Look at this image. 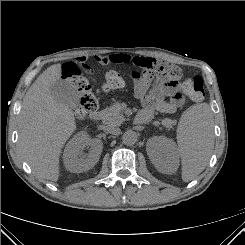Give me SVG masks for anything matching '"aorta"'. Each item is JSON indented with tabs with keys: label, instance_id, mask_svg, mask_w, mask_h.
<instances>
[{
	"label": "aorta",
	"instance_id": "1",
	"mask_svg": "<svg viewBox=\"0 0 245 245\" xmlns=\"http://www.w3.org/2000/svg\"><path fill=\"white\" fill-rule=\"evenodd\" d=\"M137 139H138V135L133 130H127L126 132L123 133V136H122V141L126 145L135 144Z\"/></svg>",
	"mask_w": 245,
	"mask_h": 245
}]
</instances>
